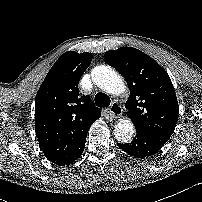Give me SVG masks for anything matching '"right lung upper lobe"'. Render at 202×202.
Masks as SVG:
<instances>
[{
    "instance_id": "right-lung-upper-lobe-1",
    "label": "right lung upper lobe",
    "mask_w": 202,
    "mask_h": 202,
    "mask_svg": "<svg viewBox=\"0 0 202 202\" xmlns=\"http://www.w3.org/2000/svg\"><path fill=\"white\" fill-rule=\"evenodd\" d=\"M90 53L67 52L53 65L35 98V132L40 148L53 163L63 162L79 145L100 110L78 91L91 63Z\"/></svg>"
}]
</instances>
